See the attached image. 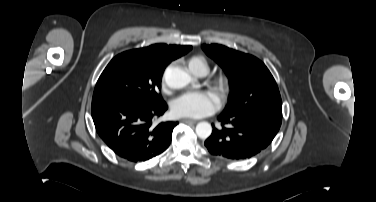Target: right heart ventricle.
Listing matches in <instances>:
<instances>
[{
    "label": "right heart ventricle",
    "mask_w": 376,
    "mask_h": 202,
    "mask_svg": "<svg viewBox=\"0 0 376 202\" xmlns=\"http://www.w3.org/2000/svg\"><path fill=\"white\" fill-rule=\"evenodd\" d=\"M187 65L192 73L199 76L205 75L209 71V64L201 55L191 57L188 60Z\"/></svg>",
    "instance_id": "right-heart-ventricle-1"
}]
</instances>
